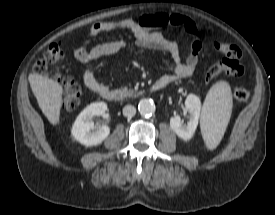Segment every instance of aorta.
<instances>
[{
    "instance_id": "1",
    "label": "aorta",
    "mask_w": 275,
    "mask_h": 215,
    "mask_svg": "<svg viewBox=\"0 0 275 215\" xmlns=\"http://www.w3.org/2000/svg\"><path fill=\"white\" fill-rule=\"evenodd\" d=\"M155 105L151 100L142 99L138 104L139 113L142 116L152 115L155 112Z\"/></svg>"
}]
</instances>
